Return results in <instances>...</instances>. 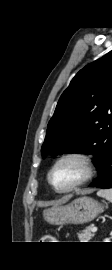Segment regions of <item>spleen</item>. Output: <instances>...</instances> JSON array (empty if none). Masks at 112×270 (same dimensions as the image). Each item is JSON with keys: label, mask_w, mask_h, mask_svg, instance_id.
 <instances>
[{"label": "spleen", "mask_w": 112, "mask_h": 270, "mask_svg": "<svg viewBox=\"0 0 112 270\" xmlns=\"http://www.w3.org/2000/svg\"><path fill=\"white\" fill-rule=\"evenodd\" d=\"M97 195L112 203V189H101L97 192Z\"/></svg>", "instance_id": "1"}]
</instances>
